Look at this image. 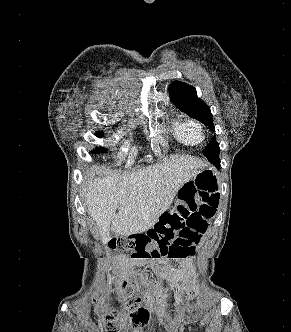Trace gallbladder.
Listing matches in <instances>:
<instances>
[{"label":"gallbladder","mask_w":291,"mask_h":332,"mask_svg":"<svg viewBox=\"0 0 291 332\" xmlns=\"http://www.w3.org/2000/svg\"><path fill=\"white\" fill-rule=\"evenodd\" d=\"M114 235H116L115 232H114V231H111V232H110V236L112 237V236H114Z\"/></svg>","instance_id":"obj_1"}]
</instances>
